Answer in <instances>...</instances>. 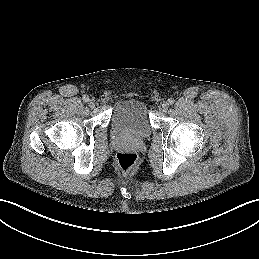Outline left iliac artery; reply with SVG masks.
<instances>
[{"label": "left iliac artery", "mask_w": 259, "mask_h": 259, "mask_svg": "<svg viewBox=\"0 0 259 259\" xmlns=\"http://www.w3.org/2000/svg\"><path fill=\"white\" fill-rule=\"evenodd\" d=\"M168 102H169L170 105H172V104H174L175 101H174V99L170 98V99L168 100Z\"/></svg>", "instance_id": "obj_1"}]
</instances>
